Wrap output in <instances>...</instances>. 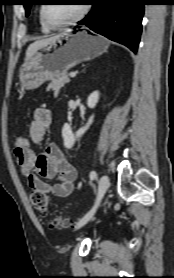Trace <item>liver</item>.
<instances>
[{
	"instance_id": "6515ba94",
	"label": "liver",
	"mask_w": 174,
	"mask_h": 278,
	"mask_svg": "<svg viewBox=\"0 0 174 278\" xmlns=\"http://www.w3.org/2000/svg\"><path fill=\"white\" fill-rule=\"evenodd\" d=\"M59 37H60V35H56L53 37L35 41L34 43L30 44L26 50V58L30 57L37 49L51 43L52 41L56 40Z\"/></svg>"
}]
</instances>
